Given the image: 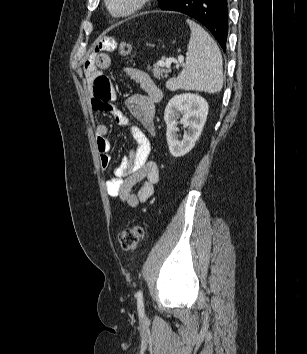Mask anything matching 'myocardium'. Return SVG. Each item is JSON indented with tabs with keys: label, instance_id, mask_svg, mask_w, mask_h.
I'll return each mask as SVG.
<instances>
[{
	"label": "myocardium",
	"instance_id": "myocardium-1",
	"mask_svg": "<svg viewBox=\"0 0 307 354\" xmlns=\"http://www.w3.org/2000/svg\"><path fill=\"white\" fill-rule=\"evenodd\" d=\"M151 0H132L122 11H115L112 7V0H105L109 14L114 18H125L143 9Z\"/></svg>",
	"mask_w": 307,
	"mask_h": 354
}]
</instances>
